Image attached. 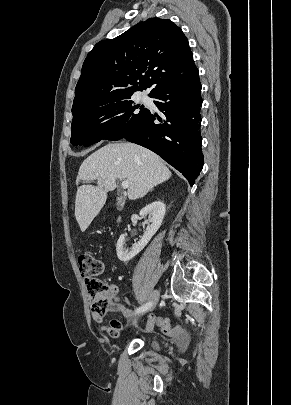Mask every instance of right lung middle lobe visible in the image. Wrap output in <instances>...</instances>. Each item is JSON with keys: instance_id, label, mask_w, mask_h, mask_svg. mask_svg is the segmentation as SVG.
I'll use <instances>...</instances> for the list:
<instances>
[{"instance_id": "right-lung-middle-lobe-1", "label": "right lung middle lobe", "mask_w": 291, "mask_h": 405, "mask_svg": "<svg viewBox=\"0 0 291 405\" xmlns=\"http://www.w3.org/2000/svg\"><path fill=\"white\" fill-rule=\"evenodd\" d=\"M148 112V109L135 104L131 96L89 105L73 113L71 143L75 146H89L102 139L120 140Z\"/></svg>"}]
</instances>
